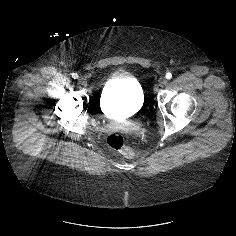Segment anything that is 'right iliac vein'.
Masks as SVG:
<instances>
[{
  "label": "right iliac vein",
  "mask_w": 236,
  "mask_h": 236,
  "mask_svg": "<svg viewBox=\"0 0 236 236\" xmlns=\"http://www.w3.org/2000/svg\"><path fill=\"white\" fill-rule=\"evenodd\" d=\"M78 82L80 83V84H82V85H86V79L84 78V77H79L78 78Z\"/></svg>",
  "instance_id": "1"
}]
</instances>
